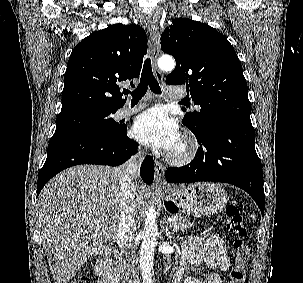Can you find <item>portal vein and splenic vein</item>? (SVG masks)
<instances>
[{"instance_id": "1", "label": "portal vein and splenic vein", "mask_w": 303, "mask_h": 283, "mask_svg": "<svg viewBox=\"0 0 303 283\" xmlns=\"http://www.w3.org/2000/svg\"><path fill=\"white\" fill-rule=\"evenodd\" d=\"M169 227H171V228L173 227V224H172V222H169Z\"/></svg>"}]
</instances>
